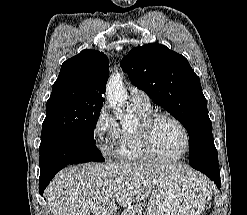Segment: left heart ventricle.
<instances>
[{"label": "left heart ventricle", "instance_id": "left-heart-ventricle-1", "mask_svg": "<svg viewBox=\"0 0 247 215\" xmlns=\"http://www.w3.org/2000/svg\"><path fill=\"white\" fill-rule=\"evenodd\" d=\"M153 139L157 151L164 156H178L184 149L185 138L181 128L168 119L156 124Z\"/></svg>", "mask_w": 247, "mask_h": 215}]
</instances>
